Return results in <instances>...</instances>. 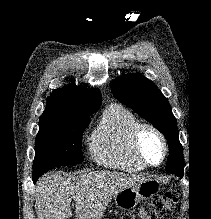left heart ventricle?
Returning a JSON list of instances; mask_svg holds the SVG:
<instances>
[{
  "label": "left heart ventricle",
  "mask_w": 211,
  "mask_h": 219,
  "mask_svg": "<svg viewBox=\"0 0 211 219\" xmlns=\"http://www.w3.org/2000/svg\"><path fill=\"white\" fill-rule=\"evenodd\" d=\"M141 151L150 163H158L162 156V144L158 137L150 131H145L141 137Z\"/></svg>",
  "instance_id": "obj_1"
}]
</instances>
